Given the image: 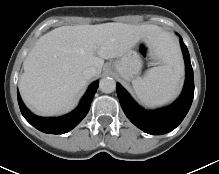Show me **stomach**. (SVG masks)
<instances>
[{"label":"stomach","instance_id":"obj_1","mask_svg":"<svg viewBox=\"0 0 219 174\" xmlns=\"http://www.w3.org/2000/svg\"><path fill=\"white\" fill-rule=\"evenodd\" d=\"M142 68V60L137 51L130 49L116 60L113 69L123 79L130 80L138 75Z\"/></svg>","mask_w":219,"mask_h":174}]
</instances>
